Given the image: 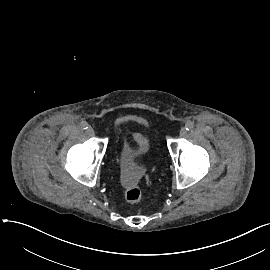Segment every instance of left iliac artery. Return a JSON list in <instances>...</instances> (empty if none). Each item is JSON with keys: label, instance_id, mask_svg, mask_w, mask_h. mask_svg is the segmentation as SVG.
I'll return each instance as SVG.
<instances>
[{"label": "left iliac artery", "instance_id": "left-iliac-artery-1", "mask_svg": "<svg viewBox=\"0 0 270 270\" xmlns=\"http://www.w3.org/2000/svg\"><path fill=\"white\" fill-rule=\"evenodd\" d=\"M194 127V123L192 121H188L186 124H185V128L187 131H190L192 130Z\"/></svg>", "mask_w": 270, "mask_h": 270}]
</instances>
